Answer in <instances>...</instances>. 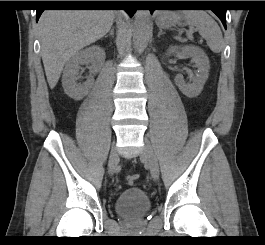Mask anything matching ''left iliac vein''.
Returning <instances> with one entry per match:
<instances>
[{
  "instance_id": "4c4485c4",
  "label": "left iliac vein",
  "mask_w": 265,
  "mask_h": 245,
  "mask_svg": "<svg viewBox=\"0 0 265 245\" xmlns=\"http://www.w3.org/2000/svg\"><path fill=\"white\" fill-rule=\"evenodd\" d=\"M144 147L141 151L140 157L145 159L149 165L151 176L154 180H158L159 178V165L156 154L150 142L145 139Z\"/></svg>"
}]
</instances>
